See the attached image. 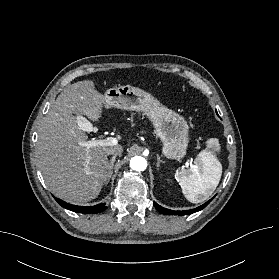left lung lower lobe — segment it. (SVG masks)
<instances>
[{
    "instance_id": "0a47b994",
    "label": "left lung lower lobe",
    "mask_w": 279,
    "mask_h": 279,
    "mask_svg": "<svg viewBox=\"0 0 279 279\" xmlns=\"http://www.w3.org/2000/svg\"><path fill=\"white\" fill-rule=\"evenodd\" d=\"M212 199H210L205 204H203V205H201V206H199L195 209L186 210V211H172V210L163 208L162 206L158 205L155 202H153V204H154L155 208L157 209V211H159L160 213L167 214V215H186V214H191V213L202 210L203 208H205L209 204V202H211Z\"/></svg>"
}]
</instances>
